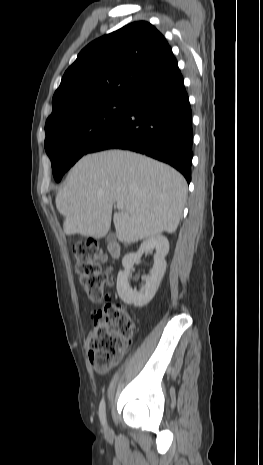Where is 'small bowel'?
Here are the masks:
<instances>
[{"label":"small bowel","instance_id":"small-bowel-1","mask_svg":"<svg viewBox=\"0 0 263 465\" xmlns=\"http://www.w3.org/2000/svg\"><path fill=\"white\" fill-rule=\"evenodd\" d=\"M97 302L99 303V302H100V299H97Z\"/></svg>","mask_w":263,"mask_h":465}]
</instances>
